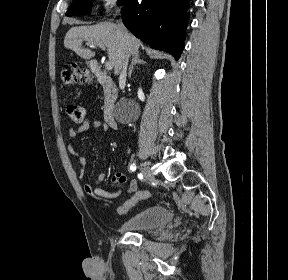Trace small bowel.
<instances>
[{"label": "small bowel", "instance_id": "obj_1", "mask_svg": "<svg viewBox=\"0 0 288 280\" xmlns=\"http://www.w3.org/2000/svg\"><path fill=\"white\" fill-rule=\"evenodd\" d=\"M90 128L101 130V131H106L108 127L102 121L92 116H89L83 121V123L79 127L70 128L69 136L72 138H75ZM69 152L73 156L78 157L79 159V163L81 166L80 172H79V178L84 182L83 189L87 196L101 203H112L114 200L118 199L121 196L122 189L120 188L115 191H107L97 186L98 184L102 183L106 179V175L104 173H99L92 182L88 181L86 177L87 157L83 154H80L73 145L69 146ZM123 162L125 163L126 161L124 160ZM111 184L119 185V186L127 185V192L129 195H131L129 199H131L138 193L137 181L135 179L129 180L127 176L124 175L123 173H120V172L115 173L111 177ZM130 209H128L124 214H126Z\"/></svg>", "mask_w": 288, "mask_h": 280}]
</instances>
